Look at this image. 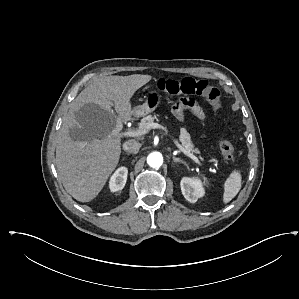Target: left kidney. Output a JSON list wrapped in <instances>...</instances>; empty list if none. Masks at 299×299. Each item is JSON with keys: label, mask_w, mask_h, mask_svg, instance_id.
<instances>
[{"label": "left kidney", "mask_w": 299, "mask_h": 299, "mask_svg": "<svg viewBox=\"0 0 299 299\" xmlns=\"http://www.w3.org/2000/svg\"><path fill=\"white\" fill-rule=\"evenodd\" d=\"M180 186L183 196L191 203H195L198 198L203 197L205 194L202 182L199 179L184 177Z\"/></svg>", "instance_id": "obj_1"}]
</instances>
